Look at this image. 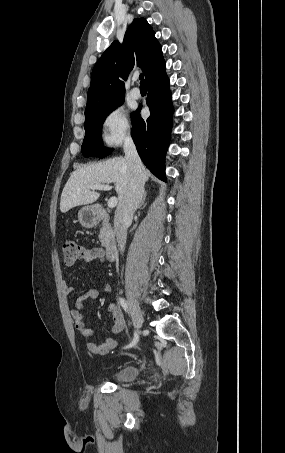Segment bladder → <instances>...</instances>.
I'll return each mask as SVG.
<instances>
[{"instance_id": "obj_1", "label": "bladder", "mask_w": 285, "mask_h": 453, "mask_svg": "<svg viewBox=\"0 0 285 453\" xmlns=\"http://www.w3.org/2000/svg\"><path fill=\"white\" fill-rule=\"evenodd\" d=\"M139 375V369L134 365L121 366L112 372L109 377L117 382L130 381L135 379Z\"/></svg>"}]
</instances>
